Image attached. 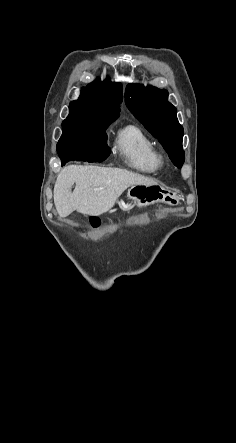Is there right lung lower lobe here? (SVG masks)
Returning a JSON list of instances; mask_svg holds the SVG:
<instances>
[{"label": "right lung lower lobe", "instance_id": "right-lung-lower-lobe-1", "mask_svg": "<svg viewBox=\"0 0 236 443\" xmlns=\"http://www.w3.org/2000/svg\"><path fill=\"white\" fill-rule=\"evenodd\" d=\"M110 154L108 146L98 145H80L68 146L60 149L58 155L61 159L62 165L68 161H88L101 162L105 160Z\"/></svg>", "mask_w": 236, "mask_h": 443}]
</instances>
